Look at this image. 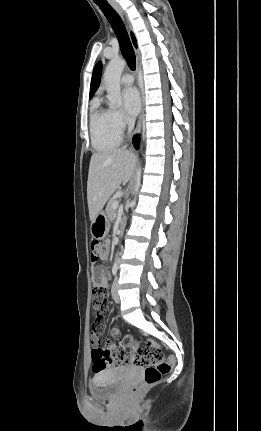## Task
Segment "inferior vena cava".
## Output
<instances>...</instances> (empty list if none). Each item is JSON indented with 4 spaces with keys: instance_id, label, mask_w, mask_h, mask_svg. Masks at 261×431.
<instances>
[{
    "instance_id": "inferior-vena-cava-1",
    "label": "inferior vena cava",
    "mask_w": 261,
    "mask_h": 431,
    "mask_svg": "<svg viewBox=\"0 0 261 431\" xmlns=\"http://www.w3.org/2000/svg\"><path fill=\"white\" fill-rule=\"evenodd\" d=\"M134 128V121L132 119H130L128 121V132L131 133L132 129ZM126 147V146H125ZM124 147V148H125Z\"/></svg>"
}]
</instances>
